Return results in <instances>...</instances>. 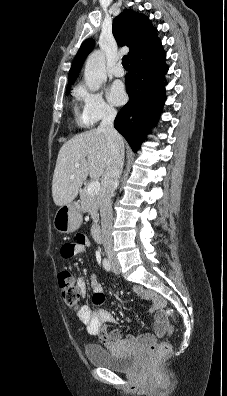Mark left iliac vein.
<instances>
[{
  "mask_svg": "<svg viewBox=\"0 0 227 396\" xmlns=\"http://www.w3.org/2000/svg\"><path fill=\"white\" fill-rule=\"evenodd\" d=\"M111 263H112V270H113V272H114L115 274H120L121 270H120V266H119L118 262L115 261V260H112Z\"/></svg>",
  "mask_w": 227,
  "mask_h": 396,
  "instance_id": "1",
  "label": "left iliac vein"
}]
</instances>
